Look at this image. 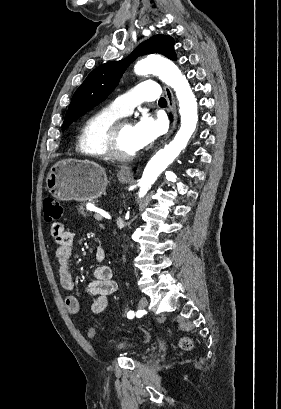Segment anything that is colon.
<instances>
[{
    "mask_svg": "<svg viewBox=\"0 0 281 409\" xmlns=\"http://www.w3.org/2000/svg\"><path fill=\"white\" fill-rule=\"evenodd\" d=\"M62 212V206L55 198L47 197L43 200V214L46 223L59 220L62 216ZM94 334V329L89 328L88 336L94 337ZM178 345L183 350H189L192 347V341L190 338L184 336L179 339Z\"/></svg>",
    "mask_w": 281,
    "mask_h": 409,
    "instance_id": "1",
    "label": "colon"
}]
</instances>
